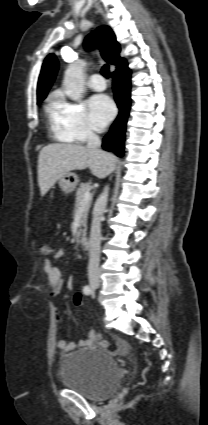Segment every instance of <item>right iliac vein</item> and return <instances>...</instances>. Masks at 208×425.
<instances>
[{
	"instance_id": "right-iliac-vein-1",
	"label": "right iliac vein",
	"mask_w": 208,
	"mask_h": 425,
	"mask_svg": "<svg viewBox=\"0 0 208 425\" xmlns=\"http://www.w3.org/2000/svg\"><path fill=\"white\" fill-rule=\"evenodd\" d=\"M91 287H92L93 289H95V288H97V287H98V284H97V283H92V284H91Z\"/></svg>"
}]
</instances>
